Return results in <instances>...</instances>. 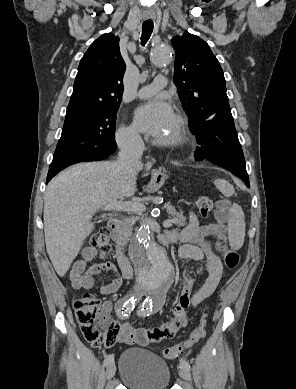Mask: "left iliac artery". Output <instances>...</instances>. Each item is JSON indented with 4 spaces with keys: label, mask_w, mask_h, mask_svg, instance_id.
Here are the masks:
<instances>
[{
    "label": "left iliac artery",
    "mask_w": 296,
    "mask_h": 389,
    "mask_svg": "<svg viewBox=\"0 0 296 389\" xmlns=\"http://www.w3.org/2000/svg\"><path fill=\"white\" fill-rule=\"evenodd\" d=\"M150 301V300H149ZM152 312V302L148 303V299H145L143 304L140 306L139 315L148 316ZM180 366L185 367L190 370V364L188 361L182 359L180 361Z\"/></svg>",
    "instance_id": "left-iliac-artery-1"
}]
</instances>
